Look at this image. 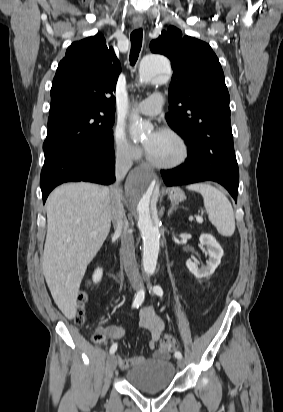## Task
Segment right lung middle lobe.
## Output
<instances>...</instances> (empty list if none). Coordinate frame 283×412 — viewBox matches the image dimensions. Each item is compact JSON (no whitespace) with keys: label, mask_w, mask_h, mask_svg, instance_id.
<instances>
[{"label":"right lung middle lobe","mask_w":283,"mask_h":412,"mask_svg":"<svg viewBox=\"0 0 283 412\" xmlns=\"http://www.w3.org/2000/svg\"><path fill=\"white\" fill-rule=\"evenodd\" d=\"M114 115L95 108H70L58 115H49L44 154L61 149L113 150Z\"/></svg>","instance_id":"dd1d6c3e"}]
</instances>
